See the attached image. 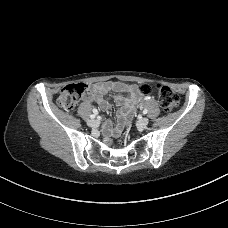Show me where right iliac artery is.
<instances>
[{
  "instance_id": "obj_1",
  "label": "right iliac artery",
  "mask_w": 228,
  "mask_h": 228,
  "mask_svg": "<svg viewBox=\"0 0 228 228\" xmlns=\"http://www.w3.org/2000/svg\"><path fill=\"white\" fill-rule=\"evenodd\" d=\"M93 113H94V114L90 115V118H91V119H94V118L96 117L97 110L94 109V110H93Z\"/></svg>"
}]
</instances>
